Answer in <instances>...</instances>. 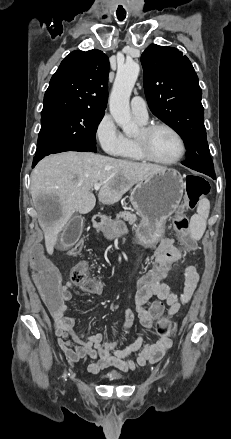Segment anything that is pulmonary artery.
Returning <instances> with one entry per match:
<instances>
[{
  "label": "pulmonary artery",
  "mask_w": 231,
  "mask_h": 439,
  "mask_svg": "<svg viewBox=\"0 0 231 439\" xmlns=\"http://www.w3.org/2000/svg\"><path fill=\"white\" fill-rule=\"evenodd\" d=\"M131 112L132 114L141 122H146L148 120V110L146 102L143 98L135 96L131 100Z\"/></svg>",
  "instance_id": "1"
}]
</instances>
